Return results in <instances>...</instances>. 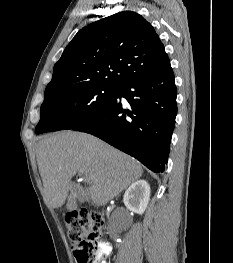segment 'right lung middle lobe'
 Here are the masks:
<instances>
[{
  "label": "right lung middle lobe",
  "mask_w": 233,
  "mask_h": 263,
  "mask_svg": "<svg viewBox=\"0 0 233 263\" xmlns=\"http://www.w3.org/2000/svg\"><path fill=\"white\" fill-rule=\"evenodd\" d=\"M116 91L117 87L92 85L46 97L36 133L74 128L107 107Z\"/></svg>",
  "instance_id": "obj_1"
}]
</instances>
